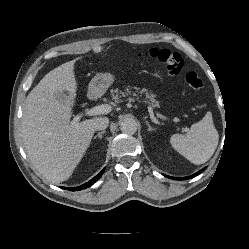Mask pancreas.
Returning a JSON list of instances; mask_svg holds the SVG:
<instances>
[{
  "label": "pancreas",
  "mask_w": 249,
  "mask_h": 249,
  "mask_svg": "<svg viewBox=\"0 0 249 249\" xmlns=\"http://www.w3.org/2000/svg\"><path fill=\"white\" fill-rule=\"evenodd\" d=\"M136 90H138V88H136ZM144 91H146V90L142 89V90H140L139 93L143 94ZM110 92H111V95H112V100H114L116 103H120L122 101L120 99L121 96L125 97V96H128V95L132 94L129 88L125 89L124 91L115 89V90H111ZM133 96H136V93H133ZM127 100L129 102H132L135 99L132 98V97H129V98H127ZM145 102L152 104V106H154V107L159 106V102L155 99V95H153L152 93H148L147 91H146V100H145Z\"/></svg>",
  "instance_id": "pancreas-1"
}]
</instances>
